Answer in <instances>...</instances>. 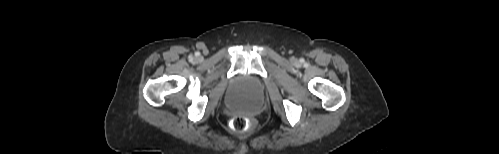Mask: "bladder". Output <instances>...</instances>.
Masks as SVG:
<instances>
[{"instance_id":"bladder-1","label":"bladder","mask_w":499,"mask_h":154,"mask_svg":"<svg viewBox=\"0 0 499 154\" xmlns=\"http://www.w3.org/2000/svg\"><path fill=\"white\" fill-rule=\"evenodd\" d=\"M258 84L250 79H242L236 85L234 94L229 99V104L238 111L252 112L258 107L257 100L251 96L258 91Z\"/></svg>"}]
</instances>
